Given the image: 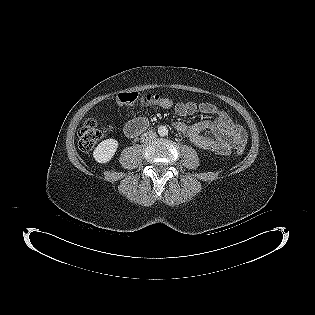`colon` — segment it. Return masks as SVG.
<instances>
[{
	"mask_svg": "<svg viewBox=\"0 0 315 315\" xmlns=\"http://www.w3.org/2000/svg\"><path fill=\"white\" fill-rule=\"evenodd\" d=\"M118 104L157 105L162 108H171L175 104L172 99L161 97L157 94H138L136 92H122L116 97ZM103 137V131L94 119L87 120L79 132V147L83 151L91 150ZM243 147L236 149L237 154H242Z\"/></svg>",
	"mask_w": 315,
	"mask_h": 315,
	"instance_id": "1",
	"label": "colon"
}]
</instances>
